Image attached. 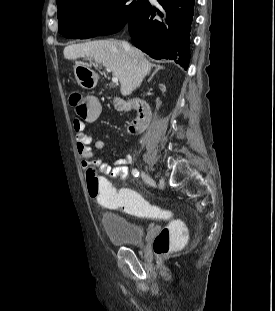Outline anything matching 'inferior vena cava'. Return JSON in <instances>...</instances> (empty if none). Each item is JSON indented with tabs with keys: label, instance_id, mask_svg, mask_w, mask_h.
I'll list each match as a JSON object with an SVG mask.
<instances>
[{
	"label": "inferior vena cava",
	"instance_id": "inferior-vena-cava-1",
	"mask_svg": "<svg viewBox=\"0 0 275 311\" xmlns=\"http://www.w3.org/2000/svg\"><path fill=\"white\" fill-rule=\"evenodd\" d=\"M124 47H125V49H126L127 51H129V53H130V55H131V57H132V59H133V62H134L135 64H138V60H137V58L135 57L134 53L132 52L131 47L129 46V44L124 43Z\"/></svg>",
	"mask_w": 275,
	"mask_h": 311
}]
</instances>
